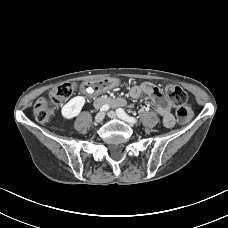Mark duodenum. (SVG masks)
<instances>
[{
    "label": "duodenum",
    "mask_w": 228,
    "mask_h": 228,
    "mask_svg": "<svg viewBox=\"0 0 228 228\" xmlns=\"http://www.w3.org/2000/svg\"><path fill=\"white\" fill-rule=\"evenodd\" d=\"M108 102L114 107H122L126 104L125 100L122 98H98L96 100V105Z\"/></svg>",
    "instance_id": "obj_1"
}]
</instances>
